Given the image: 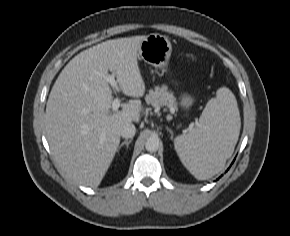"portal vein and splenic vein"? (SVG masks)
<instances>
[{
  "label": "portal vein and splenic vein",
  "mask_w": 290,
  "mask_h": 236,
  "mask_svg": "<svg viewBox=\"0 0 290 236\" xmlns=\"http://www.w3.org/2000/svg\"><path fill=\"white\" fill-rule=\"evenodd\" d=\"M107 81L110 83V85L116 90L119 91V87L117 84V81L115 80V76L114 74L109 75L107 77ZM120 107V99L119 98H115L112 102V110L113 111H117Z\"/></svg>",
  "instance_id": "1"
}]
</instances>
